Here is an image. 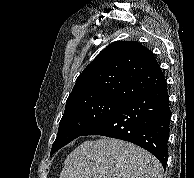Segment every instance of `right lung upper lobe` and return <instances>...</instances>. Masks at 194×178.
Here are the masks:
<instances>
[{"instance_id":"obj_1","label":"right lung upper lobe","mask_w":194,"mask_h":178,"mask_svg":"<svg viewBox=\"0 0 194 178\" xmlns=\"http://www.w3.org/2000/svg\"><path fill=\"white\" fill-rule=\"evenodd\" d=\"M164 85L166 79L150 50L136 41H117L78 76L66 103L94 97L127 101Z\"/></svg>"}]
</instances>
